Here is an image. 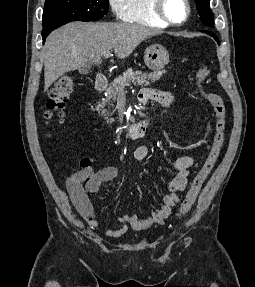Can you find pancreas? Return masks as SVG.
I'll use <instances>...</instances> for the list:
<instances>
[{"mask_svg":"<svg viewBox=\"0 0 255 287\" xmlns=\"http://www.w3.org/2000/svg\"><path fill=\"white\" fill-rule=\"evenodd\" d=\"M165 72L166 70H161V72H151V74H147V72H139V70L133 72L132 68H128L127 72H123V76L115 78L113 84H110L109 88H107V98H105L104 102L98 104V112H106V106H111V104L115 102L119 92H125V84L132 82L135 86H150L151 82L160 80L162 74H165ZM111 122H114V120H111Z\"/></svg>","mask_w":255,"mask_h":287,"instance_id":"pancreas-1","label":"pancreas"}]
</instances>
